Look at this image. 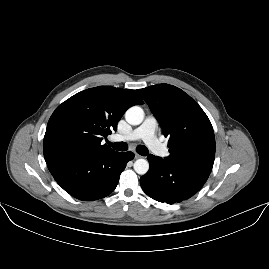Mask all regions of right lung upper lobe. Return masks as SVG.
I'll return each mask as SVG.
<instances>
[{"mask_svg":"<svg viewBox=\"0 0 269 269\" xmlns=\"http://www.w3.org/2000/svg\"><path fill=\"white\" fill-rule=\"evenodd\" d=\"M137 104L143 101L136 91L110 86L90 88L70 97L49 119L43 145L45 161L111 150L101 141L117 130L125 111Z\"/></svg>","mask_w":269,"mask_h":269,"instance_id":"obj_1","label":"right lung upper lobe"}]
</instances>
